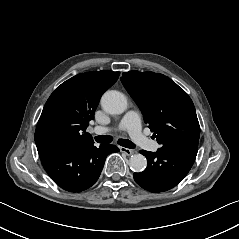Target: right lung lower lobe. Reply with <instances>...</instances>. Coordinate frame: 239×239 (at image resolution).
<instances>
[{
    "label": "right lung lower lobe",
    "instance_id": "98d812e1",
    "mask_svg": "<svg viewBox=\"0 0 239 239\" xmlns=\"http://www.w3.org/2000/svg\"><path fill=\"white\" fill-rule=\"evenodd\" d=\"M119 149L93 143L73 146H50L38 150L42 165L51 179L62 189L81 192L90 188L99 178L106 157Z\"/></svg>",
    "mask_w": 239,
    "mask_h": 239
}]
</instances>
